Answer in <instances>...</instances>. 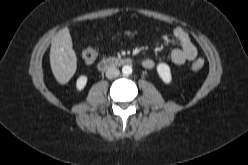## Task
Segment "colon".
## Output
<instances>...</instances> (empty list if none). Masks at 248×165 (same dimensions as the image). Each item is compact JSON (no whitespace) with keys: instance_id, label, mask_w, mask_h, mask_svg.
<instances>
[{"instance_id":"1","label":"colon","mask_w":248,"mask_h":165,"mask_svg":"<svg viewBox=\"0 0 248 165\" xmlns=\"http://www.w3.org/2000/svg\"><path fill=\"white\" fill-rule=\"evenodd\" d=\"M83 60L87 63H92L97 58V52L93 48H87L82 53ZM204 61L202 59H197L192 64V69L194 71H199L203 68Z\"/></svg>"}]
</instances>
